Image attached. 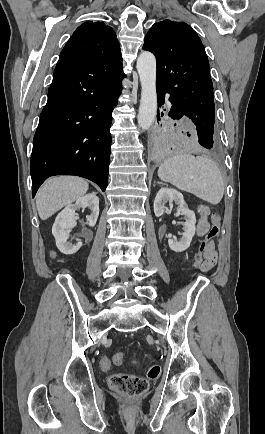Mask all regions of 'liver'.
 I'll return each mask as SVG.
<instances>
[{
  "mask_svg": "<svg viewBox=\"0 0 265 434\" xmlns=\"http://www.w3.org/2000/svg\"><path fill=\"white\" fill-rule=\"evenodd\" d=\"M88 184L75 176L49 178L36 194V208L41 220H48L55 212L76 202L88 192Z\"/></svg>",
  "mask_w": 265,
  "mask_h": 434,
  "instance_id": "1",
  "label": "liver"
}]
</instances>
